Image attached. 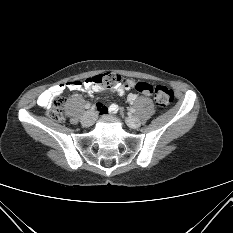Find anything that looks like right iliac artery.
<instances>
[{
  "label": "right iliac artery",
  "mask_w": 233,
  "mask_h": 233,
  "mask_svg": "<svg viewBox=\"0 0 233 233\" xmlns=\"http://www.w3.org/2000/svg\"><path fill=\"white\" fill-rule=\"evenodd\" d=\"M91 107V104L90 103H87L86 105H85V108L86 109H89Z\"/></svg>",
  "instance_id": "obj_1"
}]
</instances>
